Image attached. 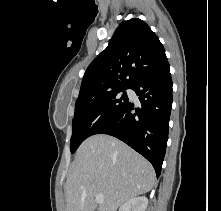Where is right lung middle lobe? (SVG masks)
I'll list each match as a JSON object with an SVG mask.
<instances>
[{"label": "right lung middle lobe", "instance_id": "1", "mask_svg": "<svg viewBox=\"0 0 221 211\" xmlns=\"http://www.w3.org/2000/svg\"><path fill=\"white\" fill-rule=\"evenodd\" d=\"M125 89L127 88L77 99L70 140L72 154L86 138L97 134L127 104Z\"/></svg>", "mask_w": 221, "mask_h": 211}]
</instances>
